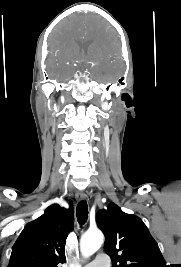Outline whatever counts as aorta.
I'll return each instance as SVG.
<instances>
[{"label": "aorta", "instance_id": "1", "mask_svg": "<svg viewBox=\"0 0 181 267\" xmlns=\"http://www.w3.org/2000/svg\"><path fill=\"white\" fill-rule=\"evenodd\" d=\"M104 235L100 230L87 231L80 241V250L83 257L93 255L103 244Z\"/></svg>", "mask_w": 181, "mask_h": 267}]
</instances>
